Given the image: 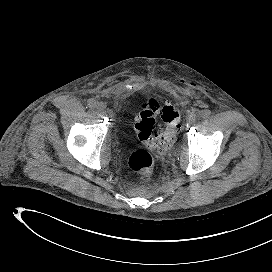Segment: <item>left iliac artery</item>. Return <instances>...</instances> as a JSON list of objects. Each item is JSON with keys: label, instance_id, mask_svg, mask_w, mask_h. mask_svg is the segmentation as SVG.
Masks as SVG:
<instances>
[{"label": "left iliac artery", "instance_id": "44dca946", "mask_svg": "<svg viewBox=\"0 0 272 272\" xmlns=\"http://www.w3.org/2000/svg\"><path fill=\"white\" fill-rule=\"evenodd\" d=\"M210 114H211V111L208 110V109H206V110H203V111L201 112V117H202V118H207V117L210 116Z\"/></svg>", "mask_w": 272, "mask_h": 272}]
</instances>
